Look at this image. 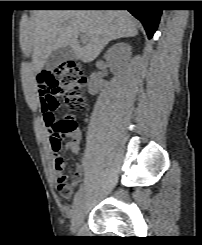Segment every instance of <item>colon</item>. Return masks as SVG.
<instances>
[{
  "instance_id": "colon-1",
  "label": "colon",
  "mask_w": 202,
  "mask_h": 245,
  "mask_svg": "<svg viewBox=\"0 0 202 245\" xmlns=\"http://www.w3.org/2000/svg\"><path fill=\"white\" fill-rule=\"evenodd\" d=\"M86 77L82 70L72 61H65L58 66L41 72L38 83L46 92L56 94L67 108V116L57 121L54 113L55 106L47 97H40L43 120L48 129V137L55 149L61 148L62 133L69 132L75 127L74 117L86 106L83 86ZM46 95V94H45Z\"/></svg>"
}]
</instances>
